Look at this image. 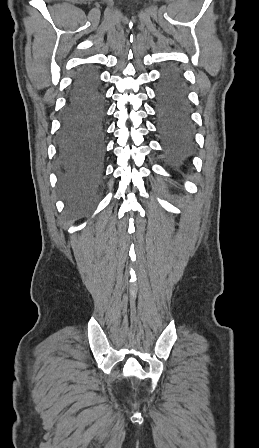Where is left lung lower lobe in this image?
Instances as JSON below:
<instances>
[{
  "mask_svg": "<svg viewBox=\"0 0 259 448\" xmlns=\"http://www.w3.org/2000/svg\"><path fill=\"white\" fill-rule=\"evenodd\" d=\"M156 117L167 160L187 165L193 149V125L187 93L178 70H167L156 92Z\"/></svg>",
  "mask_w": 259,
  "mask_h": 448,
  "instance_id": "0a47b994",
  "label": "left lung lower lobe"
}]
</instances>
